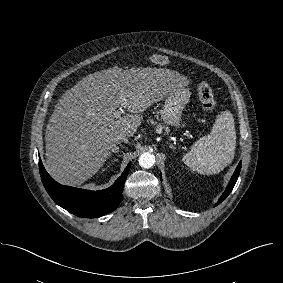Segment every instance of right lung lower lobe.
<instances>
[{
    "mask_svg": "<svg viewBox=\"0 0 283 283\" xmlns=\"http://www.w3.org/2000/svg\"><path fill=\"white\" fill-rule=\"evenodd\" d=\"M130 163L115 183L104 190L90 191L57 183L45 170L39 159V171L45 189L56 204L70 213L85 218L101 217L115 210L122 199Z\"/></svg>",
    "mask_w": 283,
    "mask_h": 283,
    "instance_id": "98d812e1",
    "label": "right lung lower lobe"
}]
</instances>
